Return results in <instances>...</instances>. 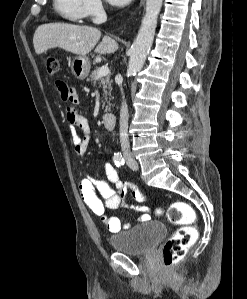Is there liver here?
<instances>
[{"mask_svg":"<svg viewBox=\"0 0 247 299\" xmlns=\"http://www.w3.org/2000/svg\"><path fill=\"white\" fill-rule=\"evenodd\" d=\"M101 32L91 26H79L66 23H48L40 25L33 37L36 54L40 55L52 48H62L78 56H85L97 45ZM118 44L105 35L96 46L95 53L111 54L117 51Z\"/></svg>","mask_w":247,"mask_h":299,"instance_id":"obj_1","label":"liver"}]
</instances>
